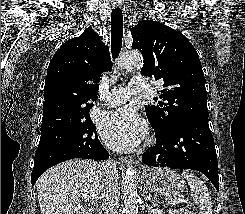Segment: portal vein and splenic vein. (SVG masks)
<instances>
[{
  "label": "portal vein and splenic vein",
  "mask_w": 245,
  "mask_h": 214,
  "mask_svg": "<svg viewBox=\"0 0 245 214\" xmlns=\"http://www.w3.org/2000/svg\"><path fill=\"white\" fill-rule=\"evenodd\" d=\"M182 202V199L180 198H176V199H172L170 201L167 202L168 205H176Z\"/></svg>",
  "instance_id": "1"
}]
</instances>
